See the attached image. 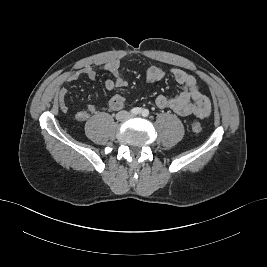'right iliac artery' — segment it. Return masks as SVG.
Wrapping results in <instances>:
<instances>
[{"label": "right iliac artery", "instance_id": "1", "mask_svg": "<svg viewBox=\"0 0 267 267\" xmlns=\"http://www.w3.org/2000/svg\"><path fill=\"white\" fill-rule=\"evenodd\" d=\"M130 112L134 115H137V114H140L142 112V109L139 107H135V108L131 109Z\"/></svg>", "mask_w": 267, "mask_h": 267}]
</instances>
